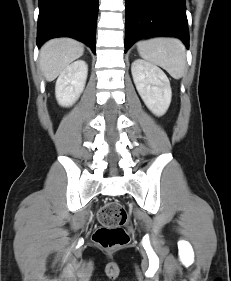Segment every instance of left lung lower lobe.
I'll return each instance as SVG.
<instances>
[{"label":"left lung lower lobe","mask_w":231,"mask_h":281,"mask_svg":"<svg viewBox=\"0 0 231 281\" xmlns=\"http://www.w3.org/2000/svg\"><path fill=\"white\" fill-rule=\"evenodd\" d=\"M125 52L150 35L167 34L189 47L185 0H125Z\"/></svg>","instance_id":"obj_1"}]
</instances>
